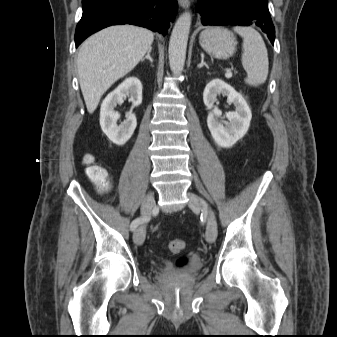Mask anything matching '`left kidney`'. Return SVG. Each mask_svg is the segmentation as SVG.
I'll use <instances>...</instances> for the list:
<instances>
[{
    "instance_id": "left-kidney-1",
    "label": "left kidney",
    "mask_w": 337,
    "mask_h": 337,
    "mask_svg": "<svg viewBox=\"0 0 337 337\" xmlns=\"http://www.w3.org/2000/svg\"><path fill=\"white\" fill-rule=\"evenodd\" d=\"M220 94L227 96L228 102L235 106V111L228 112L224 116L228 122L219 120L222 118V112L214 107ZM203 101L211 110L207 117V125L218 146L229 148L247 133L252 113L244 97L233 87L220 79H213L204 89Z\"/></svg>"
}]
</instances>
